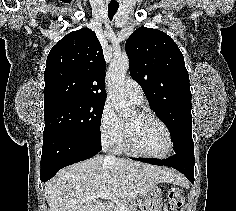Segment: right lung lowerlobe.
Here are the masks:
<instances>
[{
  "instance_id": "obj_1",
  "label": "right lung lower lobe",
  "mask_w": 236,
  "mask_h": 211,
  "mask_svg": "<svg viewBox=\"0 0 236 211\" xmlns=\"http://www.w3.org/2000/svg\"><path fill=\"white\" fill-rule=\"evenodd\" d=\"M100 150V141L86 135L61 132L43 135L41 181L46 182L61 168L91 158Z\"/></svg>"
}]
</instances>
